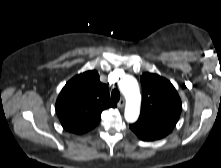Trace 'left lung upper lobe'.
Masks as SVG:
<instances>
[{
    "label": "left lung upper lobe",
    "instance_id": "1",
    "mask_svg": "<svg viewBox=\"0 0 221 168\" xmlns=\"http://www.w3.org/2000/svg\"><path fill=\"white\" fill-rule=\"evenodd\" d=\"M143 97L141 114L130 129L139 137L158 140L175 127L182 110L180 97L167 79L153 73L141 77Z\"/></svg>",
    "mask_w": 221,
    "mask_h": 168
}]
</instances>
